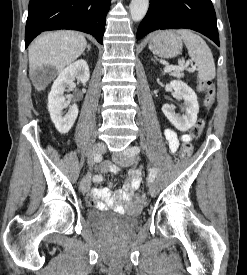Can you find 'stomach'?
Here are the masks:
<instances>
[{
	"label": "stomach",
	"instance_id": "stomach-1",
	"mask_svg": "<svg viewBox=\"0 0 247 275\" xmlns=\"http://www.w3.org/2000/svg\"><path fill=\"white\" fill-rule=\"evenodd\" d=\"M182 39L173 31L159 33L149 43V49L156 55L164 58H172L180 54Z\"/></svg>",
	"mask_w": 247,
	"mask_h": 275
}]
</instances>
